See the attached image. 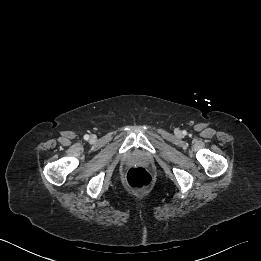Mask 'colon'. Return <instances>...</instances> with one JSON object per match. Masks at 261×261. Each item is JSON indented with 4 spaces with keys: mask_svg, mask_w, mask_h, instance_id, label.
I'll return each instance as SVG.
<instances>
[{
    "mask_svg": "<svg viewBox=\"0 0 261 261\" xmlns=\"http://www.w3.org/2000/svg\"><path fill=\"white\" fill-rule=\"evenodd\" d=\"M152 183L150 172L143 167L131 168L126 174V184L130 189L142 190Z\"/></svg>",
    "mask_w": 261,
    "mask_h": 261,
    "instance_id": "obj_1",
    "label": "colon"
}]
</instances>
